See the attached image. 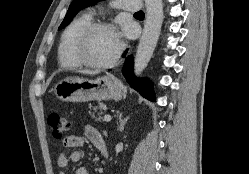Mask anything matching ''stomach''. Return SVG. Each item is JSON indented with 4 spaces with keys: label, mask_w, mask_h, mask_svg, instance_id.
I'll list each match as a JSON object with an SVG mask.
<instances>
[{
    "label": "stomach",
    "mask_w": 249,
    "mask_h": 174,
    "mask_svg": "<svg viewBox=\"0 0 249 174\" xmlns=\"http://www.w3.org/2000/svg\"><path fill=\"white\" fill-rule=\"evenodd\" d=\"M123 92V84L111 75L98 77L94 80L65 78L54 87L56 97L69 102L119 100L122 98Z\"/></svg>",
    "instance_id": "1"
}]
</instances>
